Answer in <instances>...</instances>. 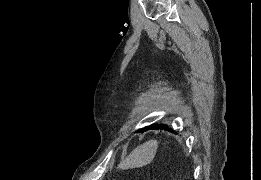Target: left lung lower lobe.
I'll return each mask as SVG.
<instances>
[{
    "instance_id": "left-lung-lower-lobe-1",
    "label": "left lung lower lobe",
    "mask_w": 261,
    "mask_h": 180,
    "mask_svg": "<svg viewBox=\"0 0 261 180\" xmlns=\"http://www.w3.org/2000/svg\"><path fill=\"white\" fill-rule=\"evenodd\" d=\"M149 129H165V130H167V129H169V127L166 124H157V125H151L149 127H146L144 129H142V131H147Z\"/></svg>"
}]
</instances>
